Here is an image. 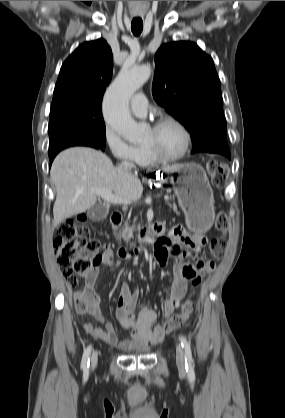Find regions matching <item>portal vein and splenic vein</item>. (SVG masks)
Returning <instances> with one entry per match:
<instances>
[{
  "label": "portal vein and splenic vein",
  "mask_w": 285,
  "mask_h": 418,
  "mask_svg": "<svg viewBox=\"0 0 285 418\" xmlns=\"http://www.w3.org/2000/svg\"><path fill=\"white\" fill-rule=\"evenodd\" d=\"M94 192L98 196H101L102 199H104L106 202H109V203H112V204L128 205V204L131 203V201H129V200L122 199L118 196H115L111 191H108V190L95 189ZM165 199L168 200V197H165Z\"/></svg>",
  "instance_id": "18ae733b"
}]
</instances>
